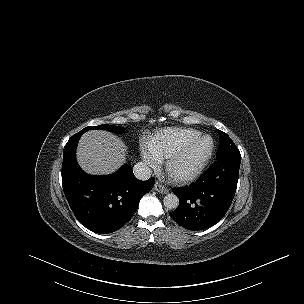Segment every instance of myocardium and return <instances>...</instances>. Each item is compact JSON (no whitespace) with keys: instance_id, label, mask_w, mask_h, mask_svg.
<instances>
[{"instance_id":"f54148a6","label":"myocardium","mask_w":304,"mask_h":304,"mask_svg":"<svg viewBox=\"0 0 304 304\" xmlns=\"http://www.w3.org/2000/svg\"><path fill=\"white\" fill-rule=\"evenodd\" d=\"M208 139L210 141V147L207 152V154L202 158V160L191 170L180 172L176 169L178 163L181 161V159L199 142L202 140ZM215 149L214 140L209 135H200L194 140H192L190 143H188L185 147H183L181 150L173 154L166 162L165 168L166 173L169 176V178L175 182V183H188L195 179H197L204 169L206 168L207 164L211 160L213 153Z\"/></svg>"}]
</instances>
